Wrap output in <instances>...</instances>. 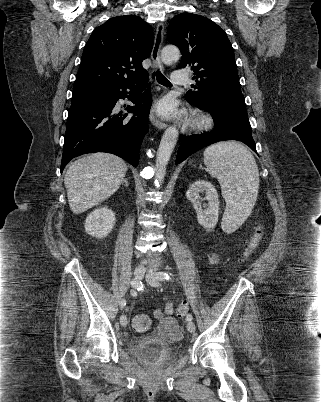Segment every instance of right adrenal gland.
Segmentation results:
<instances>
[{
	"label": "right adrenal gland",
	"instance_id": "2a0ac1e0",
	"mask_svg": "<svg viewBox=\"0 0 321 402\" xmlns=\"http://www.w3.org/2000/svg\"><path fill=\"white\" fill-rule=\"evenodd\" d=\"M122 184H123V185H125L126 187H128V186H129L128 181H127V179H126V178H125V179H123Z\"/></svg>",
	"mask_w": 321,
	"mask_h": 402
}]
</instances>
